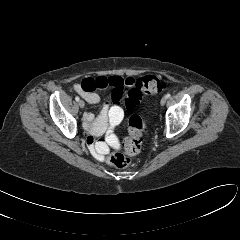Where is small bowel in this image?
I'll return each instance as SVG.
<instances>
[{
	"label": "small bowel",
	"instance_id": "obj_1",
	"mask_svg": "<svg viewBox=\"0 0 240 240\" xmlns=\"http://www.w3.org/2000/svg\"><path fill=\"white\" fill-rule=\"evenodd\" d=\"M134 85L135 79L133 77L123 78L120 76L87 77L81 83L73 85V91L90 104H96L100 101L96 90L112 89V104L104 103L97 118H94L90 113L84 115V123L91 136V142L94 137L102 135L107 128H114L122 121L124 112L120 105Z\"/></svg>",
	"mask_w": 240,
	"mask_h": 240
}]
</instances>
